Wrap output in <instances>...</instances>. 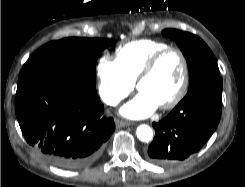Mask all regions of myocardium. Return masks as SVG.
<instances>
[{
    "instance_id": "1",
    "label": "myocardium",
    "mask_w": 245,
    "mask_h": 187,
    "mask_svg": "<svg viewBox=\"0 0 245 187\" xmlns=\"http://www.w3.org/2000/svg\"><path fill=\"white\" fill-rule=\"evenodd\" d=\"M169 52H175L179 56L181 63H182L183 72H182L181 83H180V86L177 92L167 102L159 106V109L161 110H168V109L174 108L176 105H178L181 102V100L184 98V96L187 93V90L189 87V80H190L189 64H188V60L185 54L183 53V51L178 47L168 46V47H165L155 52L145 63V65L141 69L135 81V87L138 90L141 82L144 81L146 78H148L153 73L155 67L157 66L161 58Z\"/></svg>"
}]
</instances>
